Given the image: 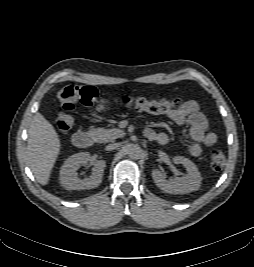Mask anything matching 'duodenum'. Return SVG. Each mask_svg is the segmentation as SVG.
Returning <instances> with one entry per match:
<instances>
[{"instance_id": "410a0bca", "label": "duodenum", "mask_w": 254, "mask_h": 267, "mask_svg": "<svg viewBox=\"0 0 254 267\" xmlns=\"http://www.w3.org/2000/svg\"><path fill=\"white\" fill-rule=\"evenodd\" d=\"M73 143L78 148H90L94 145V137L86 131H78L73 135Z\"/></svg>"}]
</instances>
